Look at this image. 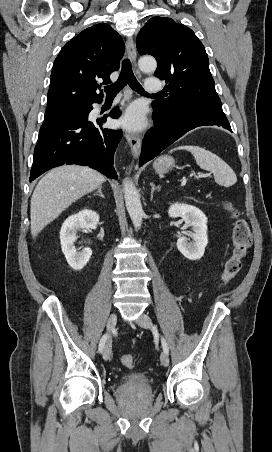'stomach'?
Listing matches in <instances>:
<instances>
[{"label": "stomach", "instance_id": "1", "mask_svg": "<svg viewBox=\"0 0 272 452\" xmlns=\"http://www.w3.org/2000/svg\"><path fill=\"white\" fill-rule=\"evenodd\" d=\"M174 166L175 161L170 156H162L153 163V167L158 174L168 173Z\"/></svg>", "mask_w": 272, "mask_h": 452}]
</instances>
